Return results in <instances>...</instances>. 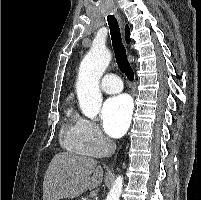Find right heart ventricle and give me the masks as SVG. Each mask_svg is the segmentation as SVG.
<instances>
[{
	"instance_id": "e07e8e85",
	"label": "right heart ventricle",
	"mask_w": 201,
	"mask_h": 200,
	"mask_svg": "<svg viewBox=\"0 0 201 200\" xmlns=\"http://www.w3.org/2000/svg\"><path fill=\"white\" fill-rule=\"evenodd\" d=\"M63 143L66 149L74 153L85 154L82 150L77 132V116L70 110L66 116V122L63 126Z\"/></svg>"
}]
</instances>
